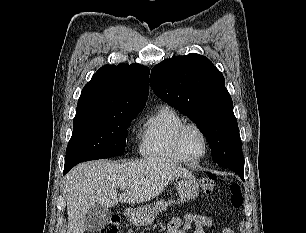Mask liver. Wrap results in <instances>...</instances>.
Segmentation results:
<instances>
[{"instance_id":"6515ba94","label":"liver","mask_w":306,"mask_h":233,"mask_svg":"<svg viewBox=\"0 0 306 233\" xmlns=\"http://www.w3.org/2000/svg\"><path fill=\"white\" fill-rule=\"evenodd\" d=\"M191 174L187 169L161 158L117 163L107 160L85 162L65 177L67 233H84L86 214L95 204L114 207L118 202L135 204L157 197L173 180ZM127 184L117 196V188Z\"/></svg>"}]
</instances>
